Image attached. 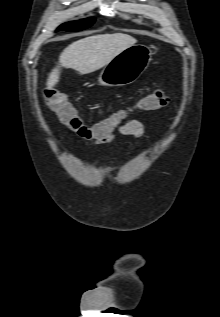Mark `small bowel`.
I'll return each instance as SVG.
<instances>
[{"label":"small bowel","instance_id":"c3829d8e","mask_svg":"<svg viewBox=\"0 0 220 317\" xmlns=\"http://www.w3.org/2000/svg\"><path fill=\"white\" fill-rule=\"evenodd\" d=\"M118 132L129 137L138 138L144 134V125L139 120H130L124 122L121 126L117 128ZM85 139L92 140L98 144L111 143L114 141L115 137L112 133L107 135H97L94 131V126H90L85 132L79 133Z\"/></svg>","mask_w":220,"mask_h":317}]
</instances>
